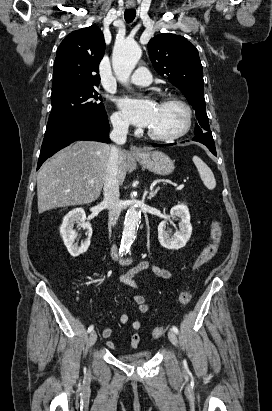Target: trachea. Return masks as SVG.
<instances>
[{"mask_svg":"<svg viewBox=\"0 0 272 411\" xmlns=\"http://www.w3.org/2000/svg\"><path fill=\"white\" fill-rule=\"evenodd\" d=\"M135 16H136V10H135V9H127V10H125L124 18H125V21H126L127 23L132 22V21L134 20Z\"/></svg>","mask_w":272,"mask_h":411,"instance_id":"trachea-1","label":"trachea"}]
</instances>
